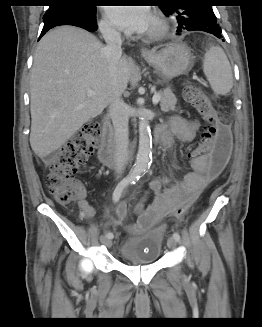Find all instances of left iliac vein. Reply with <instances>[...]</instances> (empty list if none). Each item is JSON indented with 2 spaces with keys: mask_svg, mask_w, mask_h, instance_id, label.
Masks as SVG:
<instances>
[{
  "mask_svg": "<svg viewBox=\"0 0 262 327\" xmlns=\"http://www.w3.org/2000/svg\"><path fill=\"white\" fill-rule=\"evenodd\" d=\"M167 246L169 249L174 250L176 248V240L173 237H169L167 240Z\"/></svg>",
  "mask_w": 262,
  "mask_h": 327,
  "instance_id": "left-iliac-vein-1",
  "label": "left iliac vein"
}]
</instances>
